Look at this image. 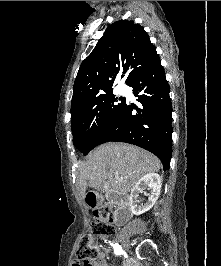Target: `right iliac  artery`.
<instances>
[{
	"label": "right iliac artery",
	"mask_w": 221,
	"mask_h": 266,
	"mask_svg": "<svg viewBox=\"0 0 221 266\" xmlns=\"http://www.w3.org/2000/svg\"><path fill=\"white\" fill-rule=\"evenodd\" d=\"M109 243L113 247L114 252H115L116 255H121L123 253V250H122V248H121V246L119 244L111 243L110 241H109Z\"/></svg>",
	"instance_id": "obj_1"
}]
</instances>
